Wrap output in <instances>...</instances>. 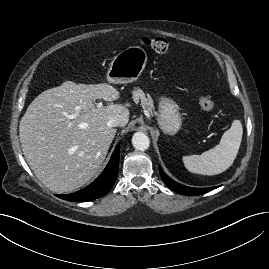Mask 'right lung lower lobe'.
Masks as SVG:
<instances>
[{
    "mask_svg": "<svg viewBox=\"0 0 269 269\" xmlns=\"http://www.w3.org/2000/svg\"><path fill=\"white\" fill-rule=\"evenodd\" d=\"M120 146L114 150L111 159L103 173L90 185L72 194H59V198L71 202H84L99 198L108 193L118 175Z\"/></svg>",
    "mask_w": 269,
    "mask_h": 269,
    "instance_id": "98d812e1",
    "label": "right lung lower lobe"
}]
</instances>
